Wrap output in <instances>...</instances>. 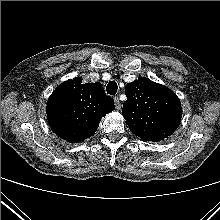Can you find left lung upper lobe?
Returning <instances> with one entry per match:
<instances>
[{
  "instance_id": "5c2ea615",
  "label": "left lung upper lobe",
  "mask_w": 220,
  "mask_h": 220,
  "mask_svg": "<svg viewBox=\"0 0 220 220\" xmlns=\"http://www.w3.org/2000/svg\"><path fill=\"white\" fill-rule=\"evenodd\" d=\"M122 114L131 131L145 141L158 142L178 128L182 107L169 88L147 78L127 84Z\"/></svg>"
}]
</instances>
